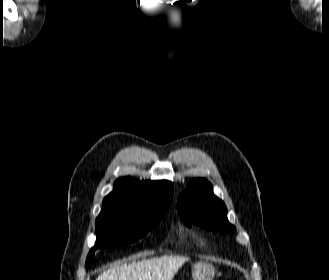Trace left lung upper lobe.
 <instances>
[{
  "label": "left lung upper lobe",
  "instance_id": "1",
  "mask_svg": "<svg viewBox=\"0 0 329 280\" xmlns=\"http://www.w3.org/2000/svg\"><path fill=\"white\" fill-rule=\"evenodd\" d=\"M181 220L190 227L197 224L202 228L224 233H234L235 227L227 219V208L212 192V185L205 179L190 181L178 199Z\"/></svg>",
  "mask_w": 329,
  "mask_h": 280
}]
</instances>
